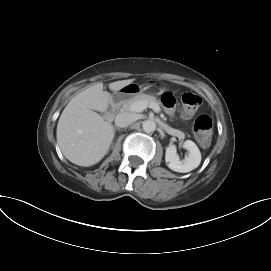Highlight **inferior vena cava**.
I'll use <instances>...</instances> for the list:
<instances>
[{"instance_id":"obj_1","label":"inferior vena cava","mask_w":271,"mask_h":271,"mask_svg":"<svg viewBox=\"0 0 271 271\" xmlns=\"http://www.w3.org/2000/svg\"><path fill=\"white\" fill-rule=\"evenodd\" d=\"M136 121L135 115L129 112H123L117 114L115 118V124L117 127L124 128Z\"/></svg>"}]
</instances>
